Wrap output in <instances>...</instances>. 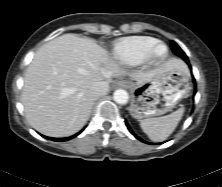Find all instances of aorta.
Instances as JSON below:
<instances>
[{
	"mask_svg": "<svg viewBox=\"0 0 222 187\" xmlns=\"http://www.w3.org/2000/svg\"><path fill=\"white\" fill-rule=\"evenodd\" d=\"M113 99L118 104H126L128 102L129 96L127 91L123 89H117L113 94Z\"/></svg>",
	"mask_w": 222,
	"mask_h": 187,
	"instance_id": "aorta-1",
	"label": "aorta"
}]
</instances>
